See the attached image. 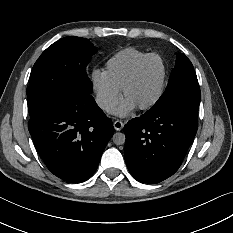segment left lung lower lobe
<instances>
[{
	"label": "left lung lower lobe",
	"instance_id": "1",
	"mask_svg": "<svg viewBox=\"0 0 233 233\" xmlns=\"http://www.w3.org/2000/svg\"><path fill=\"white\" fill-rule=\"evenodd\" d=\"M198 111H147L124 126L125 161L142 183H159L180 167L198 129Z\"/></svg>",
	"mask_w": 233,
	"mask_h": 233
}]
</instances>
